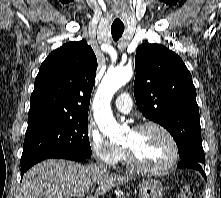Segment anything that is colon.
<instances>
[{"instance_id": "5ec220e1", "label": "colon", "mask_w": 221, "mask_h": 198, "mask_svg": "<svg viewBox=\"0 0 221 198\" xmlns=\"http://www.w3.org/2000/svg\"><path fill=\"white\" fill-rule=\"evenodd\" d=\"M194 188L191 185H185L180 189L179 198H193Z\"/></svg>"}]
</instances>
